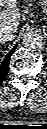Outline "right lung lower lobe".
<instances>
[{
    "label": "right lung lower lobe",
    "mask_w": 47,
    "mask_h": 129,
    "mask_svg": "<svg viewBox=\"0 0 47 129\" xmlns=\"http://www.w3.org/2000/svg\"><path fill=\"white\" fill-rule=\"evenodd\" d=\"M16 49V45L12 48V50L5 56V59L3 60V62L0 65V83L4 80L5 76L8 73L9 70V60L11 55L13 54V52Z\"/></svg>",
    "instance_id": "obj_1"
}]
</instances>
